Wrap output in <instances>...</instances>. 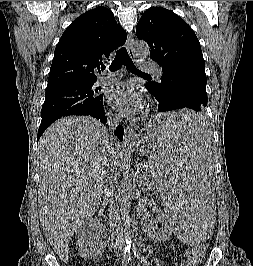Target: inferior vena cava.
Masks as SVG:
<instances>
[{"mask_svg":"<svg viewBox=\"0 0 253 266\" xmlns=\"http://www.w3.org/2000/svg\"><path fill=\"white\" fill-rule=\"evenodd\" d=\"M109 116V123H111L112 126H116L120 122V118L117 115H114L112 113L108 114ZM111 138L114 139V136L110 134ZM113 175L107 176L106 182L103 188V194L104 199H108L110 201V210H109V221L111 226V237L114 239V249L116 250L117 256H124L122 250V242H123V231L119 226V214L118 209L115 207L113 203V197H114V185L112 180Z\"/></svg>","mask_w":253,"mask_h":266,"instance_id":"602c4592","label":"inferior vena cava"}]
</instances>
